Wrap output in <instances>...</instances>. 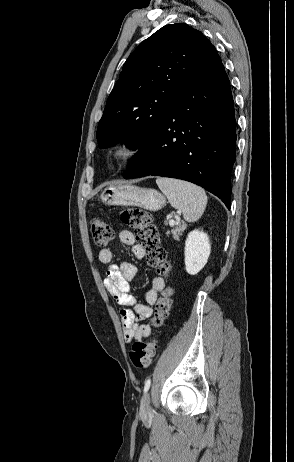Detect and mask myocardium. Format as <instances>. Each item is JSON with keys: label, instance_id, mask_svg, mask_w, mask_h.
Returning <instances> with one entry per match:
<instances>
[{"label": "myocardium", "instance_id": "obj_1", "mask_svg": "<svg viewBox=\"0 0 294 462\" xmlns=\"http://www.w3.org/2000/svg\"><path fill=\"white\" fill-rule=\"evenodd\" d=\"M139 146L128 139L119 140L107 151L106 158L110 166L118 168L128 164L139 153Z\"/></svg>", "mask_w": 294, "mask_h": 462}]
</instances>
